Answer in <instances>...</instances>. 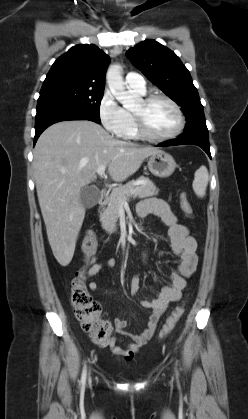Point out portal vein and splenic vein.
Here are the masks:
<instances>
[{
	"instance_id": "1",
	"label": "portal vein and splenic vein",
	"mask_w": 248,
	"mask_h": 419,
	"mask_svg": "<svg viewBox=\"0 0 248 419\" xmlns=\"http://www.w3.org/2000/svg\"><path fill=\"white\" fill-rule=\"evenodd\" d=\"M105 169H106V166L105 165H101V166H99L98 167V169H97V174L100 176V177H103L104 175H105ZM133 192V191H132Z\"/></svg>"
}]
</instances>
